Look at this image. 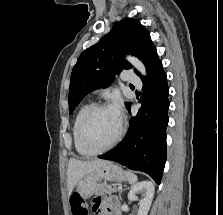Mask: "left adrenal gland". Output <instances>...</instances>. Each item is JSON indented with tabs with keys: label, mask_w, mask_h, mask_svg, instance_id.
Wrapping results in <instances>:
<instances>
[{
	"label": "left adrenal gland",
	"mask_w": 223,
	"mask_h": 215,
	"mask_svg": "<svg viewBox=\"0 0 223 215\" xmlns=\"http://www.w3.org/2000/svg\"><path fill=\"white\" fill-rule=\"evenodd\" d=\"M125 189H127V187H125ZM122 191H123V189H119V199H122V197H121Z\"/></svg>",
	"instance_id": "a2214340"
}]
</instances>
